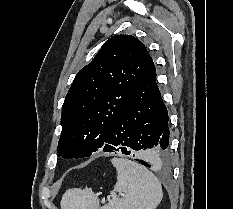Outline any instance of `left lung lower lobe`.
I'll use <instances>...</instances> for the list:
<instances>
[{
  "mask_svg": "<svg viewBox=\"0 0 233 209\" xmlns=\"http://www.w3.org/2000/svg\"><path fill=\"white\" fill-rule=\"evenodd\" d=\"M168 142V112L156 83L153 64L112 124L102 150L115 153L122 151L133 156L132 150L146 152L145 159L135 160L150 168L167 162Z\"/></svg>",
  "mask_w": 233,
  "mask_h": 209,
  "instance_id": "left-lung-lower-lobe-1",
  "label": "left lung lower lobe"
}]
</instances>
